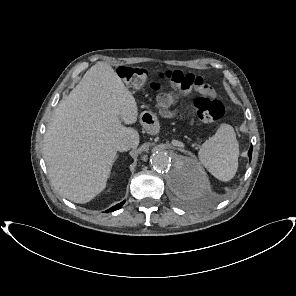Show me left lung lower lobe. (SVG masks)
Segmentation results:
<instances>
[{
  "instance_id": "0a47b994",
  "label": "left lung lower lobe",
  "mask_w": 296,
  "mask_h": 296,
  "mask_svg": "<svg viewBox=\"0 0 296 296\" xmlns=\"http://www.w3.org/2000/svg\"><path fill=\"white\" fill-rule=\"evenodd\" d=\"M248 155H249V158H250V160H251V155H252V146H251V148H250V150H249V152H248ZM177 191H179V190H177ZM181 192V191H180Z\"/></svg>"
}]
</instances>
